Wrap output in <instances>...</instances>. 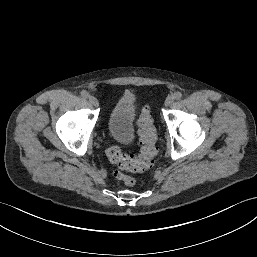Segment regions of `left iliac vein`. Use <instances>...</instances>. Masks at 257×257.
<instances>
[{"mask_svg": "<svg viewBox=\"0 0 257 257\" xmlns=\"http://www.w3.org/2000/svg\"><path fill=\"white\" fill-rule=\"evenodd\" d=\"M174 101V97L173 96H168L165 100V106H169L170 104H172Z\"/></svg>", "mask_w": 257, "mask_h": 257, "instance_id": "left-iliac-vein-1", "label": "left iliac vein"}]
</instances>
